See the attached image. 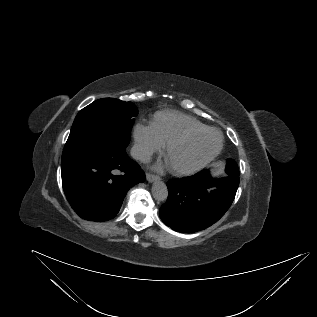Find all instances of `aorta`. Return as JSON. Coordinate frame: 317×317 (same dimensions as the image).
Wrapping results in <instances>:
<instances>
[{
  "mask_svg": "<svg viewBox=\"0 0 317 317\" xmlns=\"http://www.w3.org/2000/svg\"><path fill=\"white\" fill-rule=\"evenodd\" d=\"M152 195L157 201H165L168 197V189L164 182L156 181L152 186Z\"/></svg>",
  "mask_w": 317,
  "mask_h": 317,
  "instance_id": "aorta-1",
  "label": "aorta"
}]
</instances>
